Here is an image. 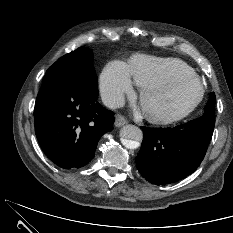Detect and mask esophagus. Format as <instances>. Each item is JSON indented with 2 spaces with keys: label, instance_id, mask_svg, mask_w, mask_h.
<instances>
[{
  "label": "esophagus",
  "instance_id": "obj_1",
  "mask_svg": "<svg viewBox=\"0 0 233 233\" xmlns=\"http://www.w3.org/2000/svg\"><path fill=\"white\" fill-rule=\"evenodd\" d=\"M127 120L124 116H122L121 114H117L115 117V126L116 127H121L124 126L125 124H127Z\"/></svg>",
  "mask_w": 233,
  "mask_h": 233
}]
</instances>
